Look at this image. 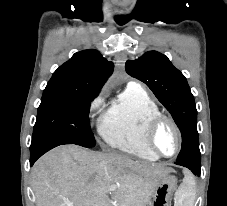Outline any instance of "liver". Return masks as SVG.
<instances>
[{"mask_svg":"<svg viewBox=\"0 0 227 206\" xmlns=\"http://www.w3.org/2000/svg\"><path fill=\"white\" fill-rule=\"evenodd\" d=\"M170 172L118 153L63 145L43 155L31 174L36 206H111V192L119 206H146ZM110 186L116 188L109 191Z\"/></svg>","mask_w":227,"mask_h":206,"instance_id":"1","label":"liver"}]
</instances>
